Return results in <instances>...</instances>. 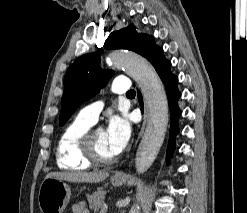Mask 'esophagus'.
Masks as SVG:
<instances>
[{"mask_svg":"<svg viewBox=\"0 0 247 213\" xmlns=\"http://www.w3.org/2000/svg\"><path fill=\"white\" fill-rule=\"evenodd\" d=\"M146 120H147V115H146V112H145V113H144V118H143V124H142L141 130H140L138 139H139V138L141 137V135L143 134V131H144V128H145V124H146ZM115 176H116V177H123V175L120 174V173H117Z\"/></svg>","mask_w":247,"mask_h":213,"instance_id":"1","label":"esophagus"}]
</instances>
